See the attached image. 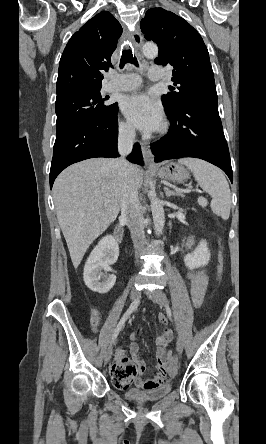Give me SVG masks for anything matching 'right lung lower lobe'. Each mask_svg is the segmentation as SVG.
I'll return each instance as SVG.
<instances>
[{
	"mask_svg": "<svg viewBox=\"0 0 266 444\" xmlns=\"http://www.w3.org/2000/svg\"><path fill=\"white\" fill-rule=\"evenodd\" d=\"M118 107L108 118L74 127L56 137L50 169V188L55 178L69 165L94 157L116 158L118 133ZM128 160L143 164L141 147L136 143Z\"/></svg>",
	"mask_w": 266,
	"mask_h": 444,
	"instance_id": "1",
	"label": "right lung lower lobe"
}]
</instances>
